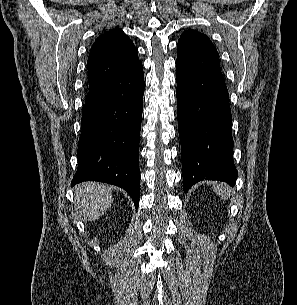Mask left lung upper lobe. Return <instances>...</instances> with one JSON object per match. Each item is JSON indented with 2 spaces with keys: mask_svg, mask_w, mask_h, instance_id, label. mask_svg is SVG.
<instances>
[{
  "mask_svg": "<svg viewBox=\"0 0 297 305\" xmlns=\"http://www.w3.org/2000/svg\"><path fill=\"white\" fill-rule=\"evenodd\" d=\"M177 47V63L186 72L220 70L219 54L205 34L186 30Z\"/></svg>",
  "mask_w": 297,
  "mask_h": 305,
  "instance_id": "5c2ea615",
  "label": "left lung upper lobe"
}]
</instances>
